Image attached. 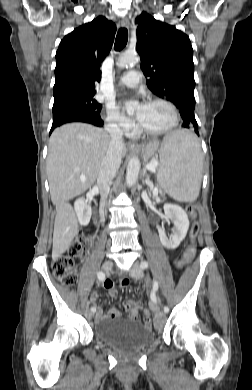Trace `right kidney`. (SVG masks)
I'll use <instances>...</instances> for the list:
<instances>
[{"label": "right kidney", "instance_id": "ca27d5eb", "mask_svg": "<svg viewBox=\"0 0 252 390\" xmlns=\"http://www.w3.org/2000/svg\"><path fill=\"white\" fill-rule=\"evenodd\" d=\"M74 210L80 225L87 226L92 215L91 206L83 198H79L74 203Z\"/></svg>", "mask_w": 252, "mask_h": 390}]
</instances>
